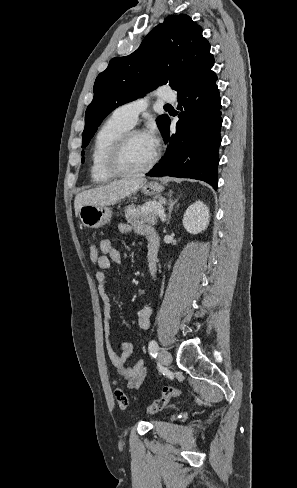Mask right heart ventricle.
Masks as SVG:
<instances>
[{
	"label": "right heart ventricle",
	"instance_id": "right-heart-ventricle-1",
	"mask_svg": "<svg viewBox=\"0 0 297 488\" xmlns=\"http://www.w3.org/2000/svg\"><path fill=\"white\" fill-rule=\"evenodd\" d=\"M130 128L115 113L100 127L91 147L90 173L94 182H108L116 177L107 168V157L114 142Z\"/></svg>",
	"mask_w": 297,
	"mask_h": 488
}]
</instances>
